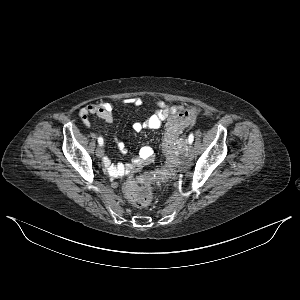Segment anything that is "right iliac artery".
<instances>
[{"label": "right iliac artery", "mask_w": 300, "mask_h": 300, "mask_svg": "<svg viewBox=\"0 0 300 300\" xmlns=\"http://www.w3.org/2000/svg\"><path fill=\"white\" fill-rule=\"evenodd\" d=\"M98 143H99L100 146L103 145L104 141H103V138H102V137H99V138H98Z\"/></svg>", "instance_id": "82829eb1"}]
</instances>
